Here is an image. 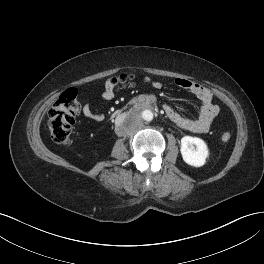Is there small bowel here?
<instances>
[{"instance_id":"1","label":"small bowel","mask_w":264,"mask_h":264,"mask_svg":"<svg viewBox=\"0 0 264 264\" xmlns=\"http://www.w3.org/2000/svg\"><path fill=\"white\" fill-rule=\"evenodd\" d=\"M145 82L152 84L155 88H160L162 83L160 81L154 80L150 77H146ZM175 85L180 88L189 90L192 92L200 102L199 113L196 118H187L175 111L168 105L164 106V112L166 116L179 128L193 132V133H206L211 128L214 118L219 112L217 105L212 103L211 92L203 87L201 84L190 81L187 79H175ZM116 92L112 91L109 87H105L102 92V97L106 101H111L114 99ZM82 113L85 117L92 119L94 121H102L104 119V114L94 109L90 104L85 103L82 107Z\"/></svg>"}]
</instances>
